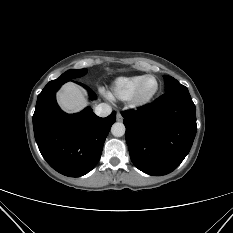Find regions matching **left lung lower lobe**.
<instances>
[{"instance_id":"left-lung-lower-lobe-1","label":"left lung lower lobe","mask_w":233,"mask_h":233,"mask_svg":"<svg viewBox=\"0 0 233 233\" xmlns=\"http://www.w3.org/2000/svg\"><path fill=\"white\" fill-rule=\"evenodd\" d=\"M121 114L130 158L142 172L168 174L189 153L197 125L187 88L168 91L150 105Z\"/></svg>"}]
</instances>
